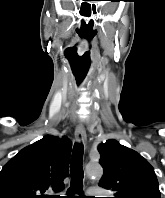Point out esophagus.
<instances>
[{
    "label": "esophagus",
    "instance_id": "esophagus-1",
    "mask_svg": "<svg viewBox=\"0 0 165 198\" xmlns=\"http://www.w3.org/2000/svg\"><path fill=\"white\" fill-rule=\"evenodd\" d=\"M75 138L80 145H86L87 136L83 125H77L75 129Z\"/></svg>",
    "mask_w": 165,
    "mask_h": 198
}]
</instances>
